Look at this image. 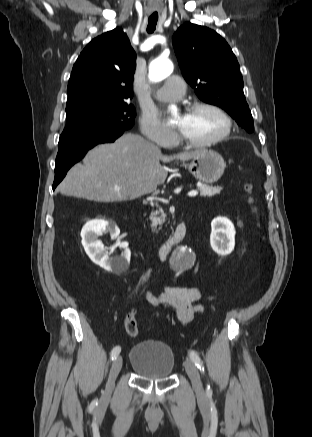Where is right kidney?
<instances>
[{
	"instance_id": "ca27d5eb",
	"label": "right kidney",
	"mask_w": 312,
	"mask_h": 437,
	"mask_svg": "<svg viewBox=\"0 0 312 437\" xmlns=\"http://www.w3.org/2000/svg\"><path fill=\"white\" fill-rule=\"evenodd\" d=\"M107 233L114 239L118 237L120 230L116 225H110L105 220L87 222L81 231L82 245L92 262L106 271L122 272L128 269L130 263L131 252L128 242L119 244V247L124 249L120 256L109 257L108 252H104V245L98 240L100 235Z\"/></svg>"
}]
</instances>
